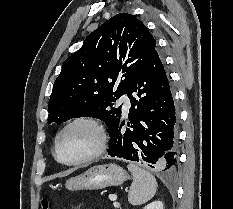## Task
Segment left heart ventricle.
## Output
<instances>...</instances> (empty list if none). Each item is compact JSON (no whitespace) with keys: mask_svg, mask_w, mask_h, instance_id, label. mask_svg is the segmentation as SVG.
<instances>
[{"mask_svg":"<svg viewBox=\"0 0 233 209\" xmlns=\"http://www.w3.org/2000/svg\"><path fill=\"white\" fill-rule=\"evenodd\" d=\"M97 133L87 124H77L62 135L58 153L62 160L71 162L90 154L97 146Z\"/></svg>","mask_w":233,"mask_h":209,"instance_id":"1","label":"left heart ventricle"}]
</instances>
